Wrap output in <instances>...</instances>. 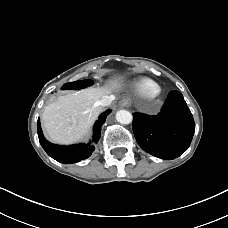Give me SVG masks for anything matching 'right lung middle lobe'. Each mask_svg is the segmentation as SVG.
<instances>
[{
	"label": "right lung middle lobe",
	"instance_id": "obj_1",
	"mask_svg": "<svg viewBox=\"0 0 228 228\" xmlns=\"http://www.w3.org/2000/svg\"><path fill=\"white\" fill-rule=\"evenodd\" d=\"M92 81L91 80H81V81H75V82H70V83H66L63 85L62 89H81V88H85L87 86L92 85Z\"/></svg>",
	"mask_w": 228,
	"mask_h": 228
}]
</instances>
